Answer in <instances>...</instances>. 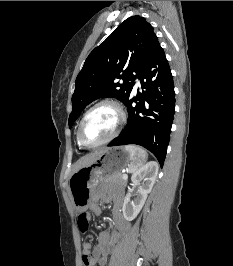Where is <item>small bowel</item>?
<instances>
[{"instance_id": "c3829d8e", "label": "small bowel", "mask_w": 233, "mask_h": 266, "mask_svg": "<svg viewBox=\"0 0 233 266\" xmlns=\"http://www.w3.org/2000/svg\"><path fill=\"white\" fill-rule=\"evenodd\" d=\"M99 196H96L97 199ZM101 198L108 202L110 201L109 196H101ZM113 220H114V227L111 230L103 231L99 234L98 243L92 249V244L89 241H85L82 245V252H83V262L85 263V258L90 257L91 263L89 266H94L98 263L100 266H104L107 262L109 254L112 252L113 247L121 234L125 233L129 228L128 221L124 218L122 214V201L119 197L114 198L113 200ZM91 211L99 214L100 209L99 207L93 203L91 205Z\"/></svg>"}]
</instances>
